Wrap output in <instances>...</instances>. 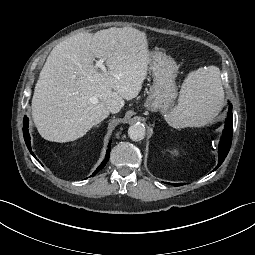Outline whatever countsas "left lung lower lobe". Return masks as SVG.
I'll use <instances>...</instances> for the list:
<instances>
[{"instance_id":"1","label":"left lung lower lobe","mask_w":255,"mask_h":255,"mask_svg":"<svg viewBox=\"0 0 255 255\" xmlns=\"http://www.w3.org/2000/svg\"><path fill=\"white\" fill-rule=\"evenodd\" d=\"M232 106L229 105L228 111V118L226 119L225 129L222 134L221 141L219 143V161L217 167L214 169L216 170L224 161L225 157L227 156L229 149L231 147L232 142V133H233V115H232ZM183 185V183L174 184V186Z\"/></svg>"}]
</instances>
